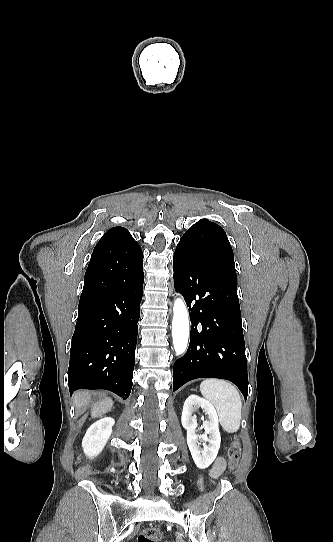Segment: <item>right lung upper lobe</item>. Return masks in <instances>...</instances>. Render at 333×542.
<instances>
[{
	"label": "right lung upper lobe",
	"mask_w": 333,
	"mask_h": 542,
	"mask_svg": "<svg viewBox=\"0 0 333 542\" xmlns=\"http://www.w3.org/2000/svg\"><path fill=\"white\" fill-rule=\"evenodd\" d=\"M132 236L128 232L127 229L123 227H114L109 229L103 237L100 239V241L95 246L94 250L101 249V248H109L113 247L117 244L125 243L127 241L132 240Z\"/></svg>",
	"instance_id": "1"
}]
</instances>
